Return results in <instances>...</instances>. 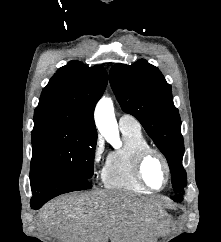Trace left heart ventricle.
<instances>
[{"label":"left heart ventricle","mask_w":221,"mask_h":242,"mask_svg":"<svg viewBox=\"0 0 221 242\" xmlns=\"http://www.w3.org/2000/svg\"><path fill=\"white\" fill-rule=\"evenodd\" d=\"M144 177L153 188H161L166 181V172L162 161L157 156H151L144 165Z\"/></svg>","instance_id":"b2bd125f"}]
</instances>
